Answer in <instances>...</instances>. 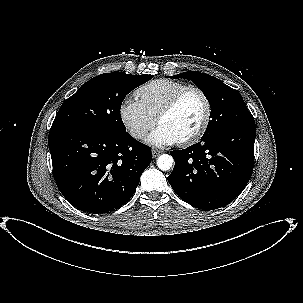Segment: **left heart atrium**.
Returning a JSON list of instances; mask_svg holds the SVG:
<instances>
[{"mask_svg":"<svg viewBox=\"0 0 303 303\" xmlns=\"http://www.w3.org/2000/svg\"><path fill=\"white\" fill-rule=\"evenodd\" d=\"M147 141L156 146H166L177 143L178 139L166 127L159 125L150 133Z\"/></svg>","mask_w":303,"mask_h":303,"instance_id":"39dd6f15","label":"left heart atrium"}]
</instances>
